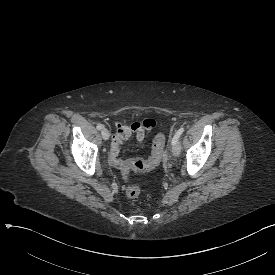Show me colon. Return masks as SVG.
Segmentation results:
<instances>
[{"label":"colon","mask_w":275,"mask_h":275,"mask_svg":"<svg viewBox=\"0 0 275 275\" xmlns=\"http://www.w3.org/2000/svg\"><path fill=\"white\" fill-rule=\"evenodd\" d=\"M154 149L151 152V157L149 160L145 159H131L127 162L126 167H123V174L127 175L131 170H136L138 172L151 170L155 168L162 157L163 143L166 141V135L164 132H159L155 135L154 139ZM140 187L135 184H128L125 186V193L129 198L135 199L140 194Z\"/></svg>","instance_id":"colon-1"}]
</instances>
